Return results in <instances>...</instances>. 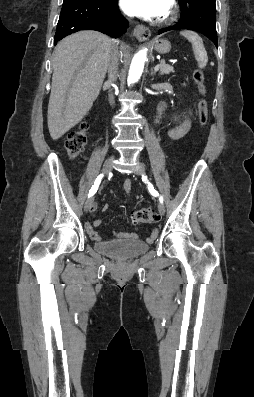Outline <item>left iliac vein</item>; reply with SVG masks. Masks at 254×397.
I'll use <instances>...</instances> for the list:
<instances>
[{"label": "left iliac vein", "mask_w": 254, "mask_h": 397, "mask_svg": "<svg viewBox=\"0 0 254 397\" xmlns=\"http://www.w3.org/2000/svg\"><path fill=\"white\" fill-rule=\"evenodd\" d=\"M143 172H144L143 165L141 163H138L134 168L133 173L136 175H141ZM158 211L161 215H164L165 213V206L161 202L158 204Z\"/></svg>", "instance_id": "obj_1"}]
</instances>
